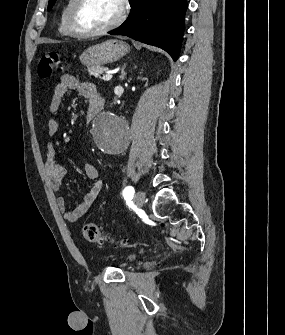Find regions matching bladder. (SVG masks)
<instances>
[{"instance_id":"bladder-1","label":"bladder","mask_w":285,"mask_h":335,"mask_svg":"<svg viewBox=\"0 0 285 335\" xmlns=\"http://www.w3.org/2000/svg\"><path fill=\"white\" fill-rule=\"evenodd\" d=\"M141 252H128L122 258H132V264L136 263L139 259Z\"/></svg>"}]
</instances>
